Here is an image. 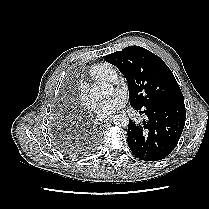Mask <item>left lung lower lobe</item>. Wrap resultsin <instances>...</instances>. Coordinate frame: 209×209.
<instances>
[{
	"mask_svg": "<svg viewBox=\"0 0 209 209\" xmlns=\"http://www.w3.org/2000/svg\"><path fill=\"white\" fill-rule=\"evenodd\" d=\"M147 120L135 124L129 120L127 141L133 155L144 161H159L176 147L182 134L186 111L184 105H157L137 109Z\"/></svg>",
	"mask_w": 209,
	"mask_h": 209,
	"instance_id": "left-lung-lower-lobe-1",
	"label": "left lung lower lobe"
}]
</instances>
